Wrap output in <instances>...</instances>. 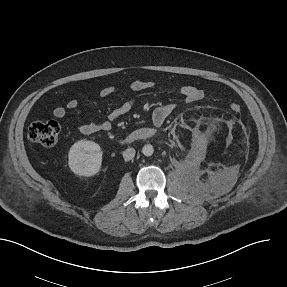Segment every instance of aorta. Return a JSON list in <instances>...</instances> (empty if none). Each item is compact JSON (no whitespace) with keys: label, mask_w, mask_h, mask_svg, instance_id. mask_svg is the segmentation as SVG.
Instances as JSON below:
<instances>
[{"label":"aorta","mask_w":287,"mask_h":287,"mask_svg":"<svg viewBox=\"0 0 287 287\" xmlns=\"http://www.w3.org/2000/svg\"><path fill=\"white\" fill-rule=\"evenodd\" d=\"M153 152H154L153 146L150 144H147V145L143 146V148H142V153L145 156H151L153 154Z\"/></svg>","instance_id":"aorta-1"}]
</instances>
